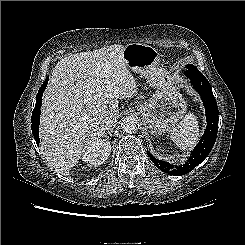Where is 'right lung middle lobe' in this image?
Returning a JSON list of instances; mask_svg holds the SVG:
<instances>
[{
  "label": "right lung middle lobe",
  "instance_id": "right-lung-middle-lobe-1",
  "mask_svg": "<svg viewBox=\"0 0 245 245\" xmlns=\"http://www.w3.org/2000/svg\"><path fill=\"white\" fill-rule=\"evenodd\" d=\"M47 83H48V77L46 78V80L44 81V83L42 84V86H43V85H45V86H46V85H47ZM42 86H41V87H42ZM41 87H40V88H41Z\"/></svg>",
  "mask_w": 245,
  "mask_h": 245
}]
</instances>
